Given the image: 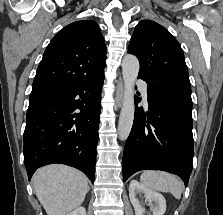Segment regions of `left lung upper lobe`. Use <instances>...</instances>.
Listing matches in <instances>:
<instances>
[{"label":"left lung upper lobe","mask_w":223,"mask_h":215,"mask_svg":"<svg viewBox=\"0 0 223 215\" xmlns=\"http://www.w3.org/2000/svg\"><path fill=\"white\" fill-rule=\"evenodd\" d=\"M128 52L140 63L138 77L152 87L192 101L183 50L160 24L142 20L135 27Z\"/></svg>","instance_id":"5c2ea615"}]
</instances>
